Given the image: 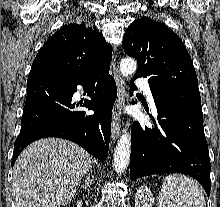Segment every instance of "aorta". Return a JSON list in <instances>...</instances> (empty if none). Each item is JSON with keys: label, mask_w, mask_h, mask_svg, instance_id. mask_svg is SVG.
Segmentation results:
<instances>
[{"label": "aorta", "mask_w": 220, "mask_h": 207, "mask_svg": "<svg viewBox=\"0 0 220 207\" xmlns=\"http://www.w3.org/2000/svg\"><path fill=\"white\" fill-rule=\"evenodd\" d=\"M137 70V62L131 57H125L121 60L119 65V71L123 77H128L133 75ZM131 154V139L130 135L124 129L123 134L121 135L115 152H114V168L118 174H121L125 171L129 164Z\"/></svg>", "instance_id": "obj_1"}]
</instances>
